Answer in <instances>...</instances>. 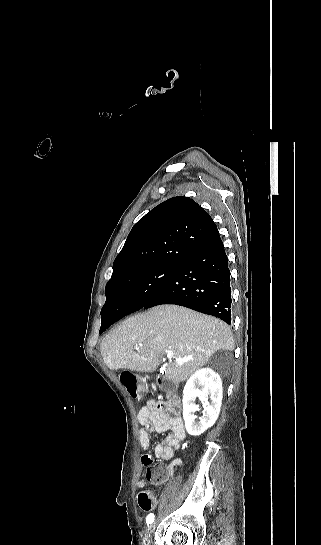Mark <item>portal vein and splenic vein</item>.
Returning a JSON list of instances; mask_svg holds the SVG:
<instances>
[{
	"instance_id": "portal-vein-and-splenic-vein-1",
	"label": "portal vein and splenic vein",
	"mask_w": 321,
	"mask_h": 545,
	"mask_svg": "<svg viewBox=\"0 0 321 545\" xmlns=\"http://www.w3.org/2000/svg\"><path fill=\"white\" fill-rule=\"evenodd\" d=\"M136 349H138V347H142V343H137V345H135ZM166 355H167V359H174V355H173V351H166ZM175 361H177V363H185V361H194V359H181V357H176Z\"/></svg>"
}]
</instances>
